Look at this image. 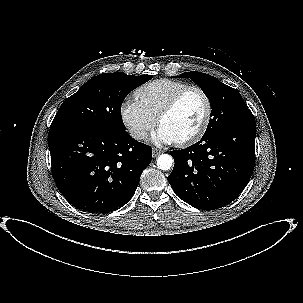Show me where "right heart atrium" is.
Instances as JSON below:
<instances>
[{"label": "right heart atrium", "mask_w": 303, "mask_h": 303, "mask_svg": "<svg viewBox=\"0 0 303 303\" xmlns=\"http://www.w3.org/2000/svg\"><path fill=\"white\" fill-rule=\"evenodd\" d=\"M120 117L132 138L141 141L156 125L152 117L136 98H126L120 105Z\"/></svg>", "instance_id": "d8ad5b80"}]
</instances>
